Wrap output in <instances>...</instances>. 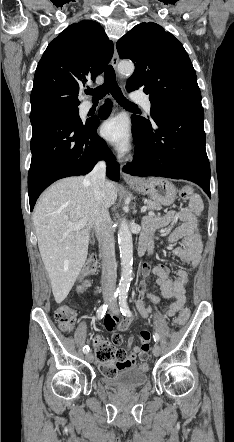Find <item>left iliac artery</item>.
<instances>
[{"label":"left iliac artery","instance_id":"left-iliac-artery-1","mask_svg":"<svg viewBox=\"0 0 234 442\" xmlns=\"http://www.w3.org/2000/svg\"><path fill=\"white\" fill-rule=\"evenodd\" d=\"M119 305H120V311H121V313H122L124 316H127V317H131V316H132V313H131V311H130V309H129V307H128V303H127V294H126V293H122V294H120V297H119ZM153 338H154V341H155V342H158L159 339H160L158 333H155V334L153 335Z\"/></svg>","mask_w":234,"mask_h":442}]
</instances>
